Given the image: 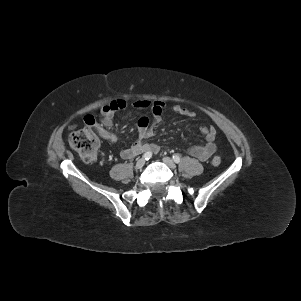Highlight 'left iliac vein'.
<instances>
[{
	"instance_id": "left-iliac-vein-1",
	"label": "left iliac vein",
	"mask_w": 301,
	"mask_h": 301,
	"mask_svg": "<svg viewBox=\"0 0 301 301\" xmlns=\"http://www.w3.org/2000/svg\"><path fill=\"white\" fill-rule=\"evenodd\" d=\"M163 162L171 169H176V164L170 157H164Z\"/></svg>"
}]
</instances>
